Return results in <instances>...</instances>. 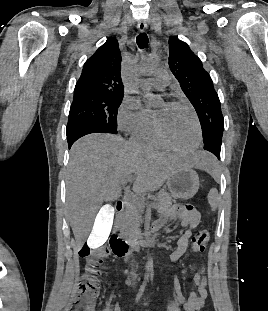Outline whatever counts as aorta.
<instances>
[{"instance_id": "762f6f07", "label": "aorta", "mask_w": 268, "mask_h": 311, "mask_svg": "<svg viewBox=\"0 0 268 311\" xmlns=\"http://www.w3.org/2000/svg\"><path fill=\"white\" fill-rule=\"evenodd\" d=\"M159 65V60L154 57H147L142 59L138 66H137V71L140 74H151L153 73L156 68ZM150 102L151 103H157L159 102L160 98L157 96H150ZM153 266V260L151 257L148 258L147 263H146V270L151 271Z\"/></svg>"}]
</instances>
